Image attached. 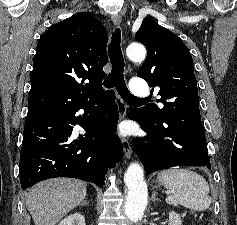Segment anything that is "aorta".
I'll list each match as a JSON object with an SVG mask.
<instances>
[{"mask_svg": "<svg viewBox=\"0 0 237 225\" xmlns=\"http://www.w3.org/2000/svg\"><path fill=\"white\" fill-rule=\"evenodd\" d=\"M127 57L133 62H142L146 57V49L140 44H130L126 50ZM124 183L128 188L125 203V214L136 221L143 214L147 205L148 189L144 181V171L140 164L131 163L124 174Z\"/></svg>", "mask_w": 237, "mask_h": 225, "instance_id": "1", "label": "aorta"}]
</instances>
